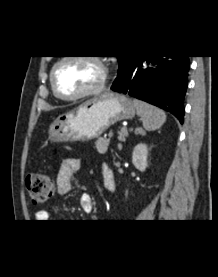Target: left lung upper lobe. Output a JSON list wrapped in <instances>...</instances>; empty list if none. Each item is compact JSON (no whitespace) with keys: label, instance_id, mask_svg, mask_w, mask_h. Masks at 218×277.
Instances as JSON below:
<instances>
[{"label":"left lung upper lobe","instance_id":"1","mask_svg":"<svg viewBox=\"0 0 218 277\" xmlns=\"http://www.w3.org/2000/svg\"><path fill=\"white\" fill-rule=\"evenodd\" d=\"M118 58V62H119V72H121L126 64L129 62V60L132 58V56L127 55V56H116Z\"/></svg>","mask_w":218,"mask_h":277}]
</instances>
